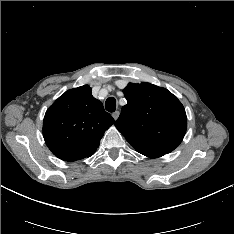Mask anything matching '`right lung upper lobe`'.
Wrapping results in <instances>:
<instances>
[{
    "instance_id": "1",
    "label": "right lung upper lobe",
    "mask_w": 234,
    "mask_h": 234,
    "mask_svg": "<svg viewBox=\"0 0 234 234\" xmlns=\"http://www.w3.org/2000/svg\"><path fill=\"white\" fill-rule=\"evenodd\" d=\"M112 124V116L84 85L66 91L47 109L43 137L59 159L76 161L95 153Z\"/></svg>"
}]
</instances>
